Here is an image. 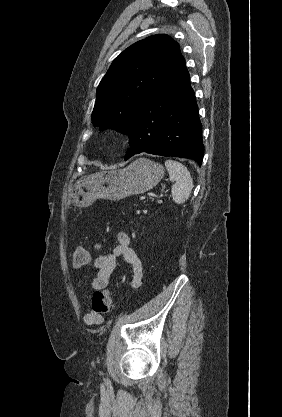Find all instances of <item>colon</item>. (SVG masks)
<instances>
[{"instance_id":"5ec220e1","label":"colon","mask_w":282,"mask_h":417,"mask_svg":"<svg viewBox=\"0 0 282 417\" xmlns=\"http://www.w3.org/2000/svg\"><path fill=\"white\" fill-rule=\"evenodd\" d=\"M73 265L77 268L87 267L91 262L90 254L82 247H76L73 251ZM112 292L109 290H97L92 297V310L99 315L106 314L111 311Z\"/></svg>"}]
</instances>
